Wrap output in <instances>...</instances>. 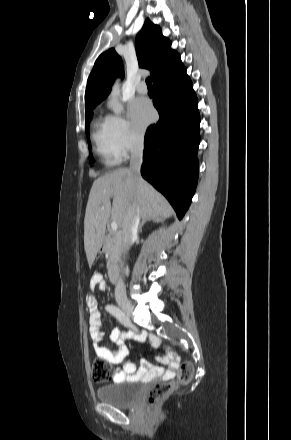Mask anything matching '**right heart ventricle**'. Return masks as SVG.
I'll return each mask as SVG.
<instances>
[{"instance_id":"obj_1","label":"right heart ventricle","mask_w":291,"mask_h":440,"mask_svg":"<svg viewBox=\"0 0 291 440\" xmlns=\"http://www.w3.org/2000/svg\"><path fill=\"white\" fill-rule=\"evenodd\" d=\"M92 139L94 143V150L100 161L106 166H114L119 160L120 156L113 148L106 118H98L93 123Z\"/></svg>"}]
</instances>
